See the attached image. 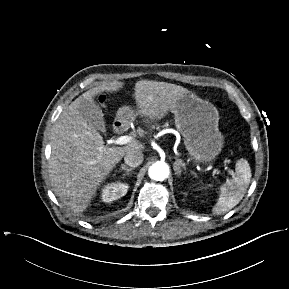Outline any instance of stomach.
Returning a JSON list of instances; mask_svg holds the SVG:
<instances>
[{"mask_svg":"<svg viewBox=\"0 0 289 289\" xmlns=\"http://www.w3.org/2000/svg\"><path fill=\"white\" fill-rule=\"evenodd\" d=\"M171 111L190 157L195 162H212L224 143L218 128L219 113L214 105L189 91L179 97ZM126 116H133L129 107L121 108L117 114L120 119Z\"/></svg>","mask_w":289,"mask_h":289,"instance_id":"obj_1","label":"stomach"}]
</instances>
